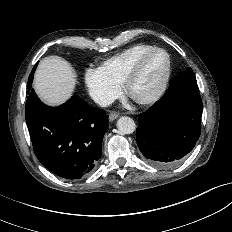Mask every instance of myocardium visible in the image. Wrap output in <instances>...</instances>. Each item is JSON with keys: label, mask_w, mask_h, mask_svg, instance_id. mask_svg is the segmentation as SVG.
<instances>
[{"label": "myocardium", "mask_w": 232, "mask_h": 232, "mask_svg": "<svg viewBox=\"0 0 232 232\" xmlns=\"http://www.w3.org/2000/svg\"><path fill=\"white\" fill-rule=\"evenodd\" d=\"M158 52L163 53L166 57V68H165V72H164V75L162 77L160 84L158 85V87L155 89V91L153 93H151L150 95H148L146 97H143V98L132 97L131 93H130L131 86H132L133 82L135 81V79L137 78V76L139 75L145 61L151 55L158 53ZM171 72H172V61H171L170 54L163 48L153 47L152 49L141 54L134 61V63L132 64L131 68L129 69V71H128V73L125 76V79L123 81V89H124L125 93L128 96H130L138 104L148 105V104L154 103L158 99H160V97L164 94V92L169 84V81H170Z\"/></svg>", "instance_id": "1"}]
</instances>
